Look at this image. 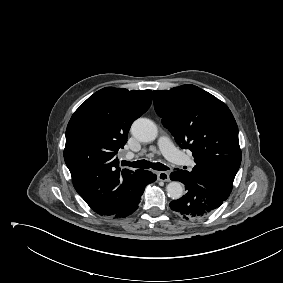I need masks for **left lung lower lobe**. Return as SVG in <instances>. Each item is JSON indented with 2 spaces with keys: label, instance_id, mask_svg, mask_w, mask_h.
<instances>
[{
  "label": "left lung lower lobe",
  "instance_id": "0a47b994",
  "mask_svg": "<svg viewBox=\"0 0 283 283\" xmlns=\"http://www.w3.org/2000/svg\"><path fill=\"white\" fill-rule=\"evenodd\" d=\"M170 179L185 185L186 194L172 201L170 208L186 220L206 217L218 209L224 201L214 192L185 178L177 169L171 173Z\"/></svg>",
  "mask_w": 283,
  "mask_h": 283
}]
</instances>
